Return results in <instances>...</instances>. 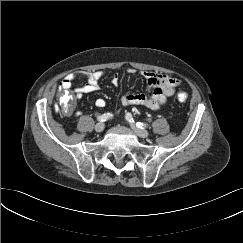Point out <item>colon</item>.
Listing matches in <instances>:
<instances>
[{"label":"colon","instance_id":"1","mask_svg":"<svg viewBox=\"0 0 243 243\" xmlns=\"http://www.w3.org/2000/svg\"><path fill=\"white\" fill-rule=\"evenodd\" d=\"M177 99L180 102H184L188 99V94L186 92H179ZM59 104L64 113L70 114L73 112L76 105L75 97L70 92L63 90L60 93Z\"/></svg>","mask_w":243,"mask_h":243}]
</instances>
